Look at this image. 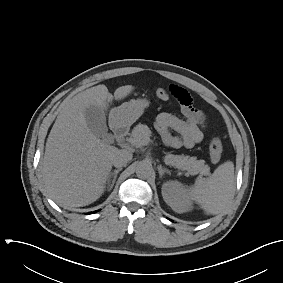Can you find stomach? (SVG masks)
Masks as SVG:
<instances>
[{"instance_id": "1", "label": "stomach", "mask_w": 283, "mask_h": 283, "mask_svg": "<svg viewBox=\"0 0 283 283\" xmlns=\"http://www.w3.org/2000/svg\"><path fill=\"white\" fill-rule=\"evenodd\" d=\"M150 102L146 98L132 99L113 110V119L123 125H131L138 120Z\"/></svg>"}]
</instances>
